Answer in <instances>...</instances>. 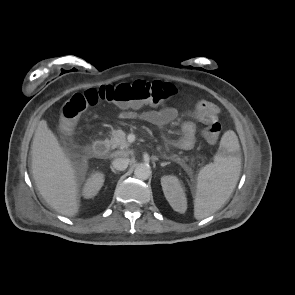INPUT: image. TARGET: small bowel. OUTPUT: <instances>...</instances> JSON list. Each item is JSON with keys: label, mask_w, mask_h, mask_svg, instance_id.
<instances>
[{"label": "small bowel", "mask_w": 295, "mask_h": 295, "mask_svg": "<svg viewBox=\"0 0 295 295\" xmlns=\"http://www.w3.org/2000/svg\"><path fill=\"white\" fill-rule=\"evenodd\" d=\"M137 108H122L118 117L124 120H142L154 125H164L173 121L177 117V109L174 107H165L158 110H149L139 112ZM220 113L219 107L206 100H200L195 104L194 115L202 123L217 121ZM196 140V126L188 121L182 125L181 136L174 142V145L180 149H191Z\"/></svg>", "instance_id": "1"}]
</instances>
